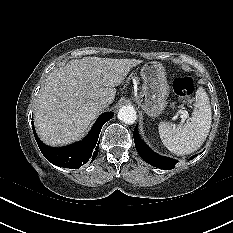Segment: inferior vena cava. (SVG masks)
Here are the masks:
<instances>
[{
	"mask_svg": "<svg viewBox=\"0 0 233 233\" xmlns=\"http://www.w3.org/2000/svg\"><path fill=\"white\" fill-rule=\"evenodd\" d=\"M110 104V101L109 99L107 98H102L99 100V105L102 107V108H105L106 106H108Z\"/></svg>",
	"mask_w": 233,
	"mask_h": 233,
	"instance_id": "602c4592",
	"label": "inferior vena cava"
}]
</instances>
